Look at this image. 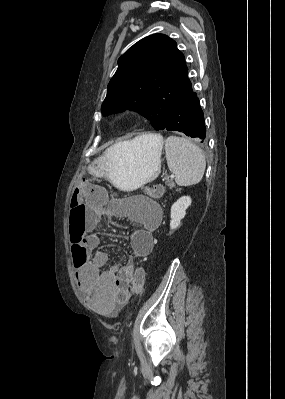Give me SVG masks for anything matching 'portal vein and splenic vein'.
Listing matches in <instances>:
<instances>
[{"label": "portal vein and splenic vein", "mask_w": 285, "mask_h": 399, "mask_svg": "<svg viewBox=\"0 0 285 399\" xmlns=\"http://www.w3.org/2000/svg\"><path fill=\"white\" fill-rule=\"evenodd\" d=\"M174 177H175V176L172 174V175H171V178H174Z\"/></svg>", "instance_id": "obj_1"}]
</instances>
